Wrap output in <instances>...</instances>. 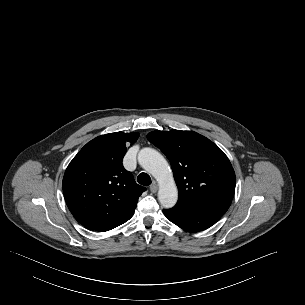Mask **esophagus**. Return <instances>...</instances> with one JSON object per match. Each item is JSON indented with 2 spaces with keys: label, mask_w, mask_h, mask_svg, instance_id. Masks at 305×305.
Instances as JSON below:
<instances>
[{
  "label": "esophagus",
  "mask_w": 305,
  "mask_h": 305,
  "mask_svg": "<svg viewBox=\"0 0 305 305\" xmlns=\"http://www.w3.org/2000/svg\"><path fill=\"white\" fill-rule=\"evenodd\" d=\"M157 190H158V186H157V184H156L155 182H153V183L151 184V186H150V191H151L152 193H156Z\"/></svg>",
  "instance_id": "obj_1"
}]
</instances>
